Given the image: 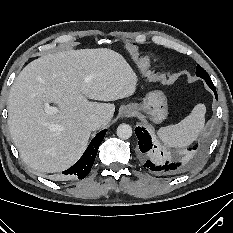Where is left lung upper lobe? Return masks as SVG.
Instances as JSON below:
<instances>
[{
    "label": "left lung upper lobe",
    "mask_w": 233,
    "mask_h": 233,
    "mask_svg": "<svg viewBox=\"0 0 233 233\" xmlns=\"http://www.w3.org/2000/svg\"><path fill=\"white\" fill-rule=\"evenodd\" d=\"M196 75L199 77H202V76H206L208 74L200 65H197Z\"/></svg>",
    "instance_id": "1"
}]
</instances>
